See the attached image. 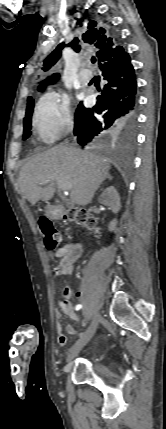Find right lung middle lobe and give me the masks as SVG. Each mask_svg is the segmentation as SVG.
Returning <instances> with one entry per match:
<instances>
[{"instance_id":"dd1d6c3e","label":"right lung middle lobe","mask_w":166,"mask_h":429,"mask_svg":"<svg viewBox=\"0 0 166 429\" xmlns=\"http://www.w3.org/2000/svg\"><path fill=\"white\" fill-rule=\"evenodd\" d=\"M47 84H42L39 87V91H43ZM34 99L31 97L27 100V110L24 118V131H23V140H26L31 134V118L34 109Z\"/></svg>"}]
</instances>
